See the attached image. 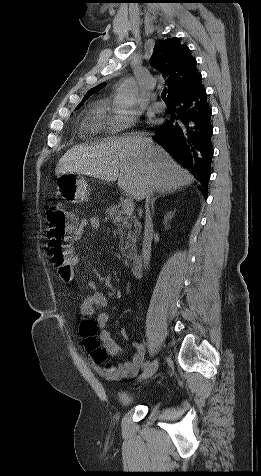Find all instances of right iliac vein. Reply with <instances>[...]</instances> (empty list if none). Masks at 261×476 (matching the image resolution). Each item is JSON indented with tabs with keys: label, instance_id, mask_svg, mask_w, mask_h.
<instances>
[{
	"label": "right iliac vein",
	"instance_id": "obj_1",
	"mask_svg": "<svg viewBox=\"0 0 261 476\" xmlns=\"http://www.w3.org/2000/svg\"><path fill=\"white\" fill-rule=\"evenodd\" d=\"M158 366V360H154L152 363L149 364L147 368H145L140 379L145 380L153 376L157 371Z\"/></svg>",
	"mask_w": 261,
	"mask_h": 476
}]
</instances>
